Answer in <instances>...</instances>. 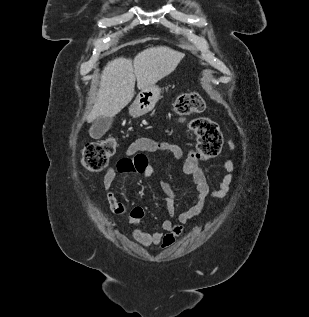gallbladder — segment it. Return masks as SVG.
Returning a JSON list of instances; mask_svg holds the SVG:
<instances>
[{
    "label": "gallbladder",
    "mask_w": 309,
    "mask_h": 317,
    "mask_svg": "<svg viewBox=\"0 0 309 317\" xmlns=\"http://www.w3.org/2000/svg\"><path fill=\"white\" fill-rule=\"evenodd\" d=\"M113 118L110 117H98L89 130V134L93 139L101 138L112 126Z\"/></svg>",
    "instance_id": "1"
}]
</instances>
